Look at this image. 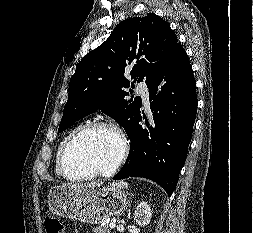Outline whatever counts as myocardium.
<instances>
[{
    "label": "myocardium",
    "mask_w": 253,
    "mask_h": 233,
    "mask_svg": "<svg viewBox=\"0 0 253 233\" xmlns=\"http://www.w3.org/2000/svg\"><path fill=\"white\" fill-rule=\"evenodd\" d=\"M100 129L108 130L114 133L120 141V153L115 163L108 170H93L89 173L78 176L69 174L66 162H67V155L73 144L84 134L90 131ZM128 153H129V142L127 136L118 126L103 121L91 122L80 127L65 144L60 157V170L63 177H65L70 181H82L96 176L109 177L113 175L122 166V164L127 159Z\"/></svg>",
    "instance_id": "obj_1"
}]
</instances>
